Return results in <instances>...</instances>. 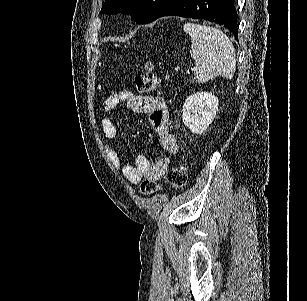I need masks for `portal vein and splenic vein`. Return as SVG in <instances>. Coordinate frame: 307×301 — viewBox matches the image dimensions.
<instances>
[{"label": "portal vein and splenic vein", "mask_w": 307, "mask_h": 301, "mask_svg": "<svg viewBox=\"0 0 307 301\" xmlns=\"http://www.w3.org/2000/svg\"><path fill=\"white\" fill-rule=\"evenodd\" d=\"M197 66H198V62H196V64H195L194 68H197Z\"/></svg>", "instance_id": "obj_1"}]
</instances>
